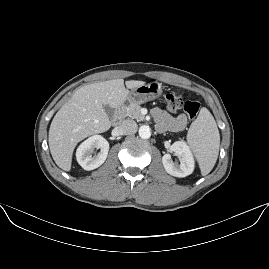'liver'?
<instances>
[{
    "label": "liver",
    "mask_w": 269,
    "mask_h": 269,
    "mask_svg": "<svg viewBox=\"0 0 269 269\" xmlns=\"http://www.w3.org/2000/svg\"><path fill=\"white\" fill-rule=\"evenodd\" d=\"M142 81L123 79L90 84L78 89L55 115L50 131L49 146L56 164L68 171L77 142L109 129L111 123L103 105L118 108L129 93V88L142 85Z\"/></svg>",
    "instance_id": "6515ba94"
}]
</instances>
